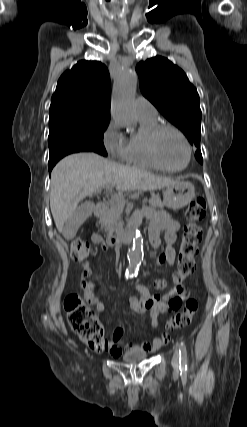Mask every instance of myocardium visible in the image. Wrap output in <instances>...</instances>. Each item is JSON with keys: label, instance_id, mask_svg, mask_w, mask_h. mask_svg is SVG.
<instances>
[{"label": "myocardium", "instance_id": "1", "mask_svg": "<svg viewBox=\"0 0 247 427\" xmlns=\"http://www.w3.org/2000/svg\"><path fill=\"white\" fill-rule=\"evenodd\" d=\"M166 130H170L175 132L183 141L184 146L186 148V153H187V159L185 164L180 167V168H170L165 166L161 160L159 159V156L157 154V140L160 136V134ZM146 148H147V152L149 157L151 158V160L153 161V163L161 170L163 171H167V172H181L183 170H185L190 161H191V157H192V149H191V145L189 143L188 138L186 137V135L184 134V132L179 129L178 127L172 125V124H158L156 125L147 135L146 138Z\"/></svg>", "mask_w": 247, "mask_h": 427}]
</instances>
